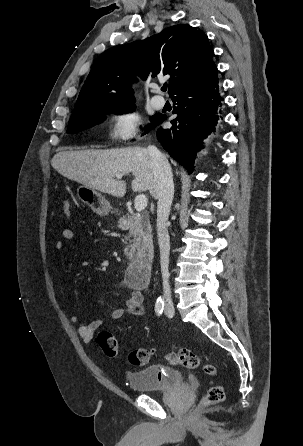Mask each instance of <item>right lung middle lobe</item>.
<instances>
[{"instance_id":"right-lung-middle-lobe-1","label":"right lung middle lobe","mask_w":303,"mask_h":446,"mask_svg":"<svg viewBox=\"0 0 303 446\" xmlns=\"http://www.w3.org/2000/svg\"><path fill=\"white\" fill-rule=\"evenodd\" d=\"M135 109L134 104H128L123 106H102L96 109H93L89 112L73 115L70 118L67 133H78L81 130L90 128L96 124L101 123L105 120L104 114L117 112V113H125L132 112ZM160 117V114H155L151 117V127L154 128L156 123ZM151 129L149 127L145 128V132L148 133Z\"/></svg>"}]
</instances>
